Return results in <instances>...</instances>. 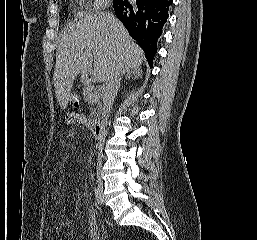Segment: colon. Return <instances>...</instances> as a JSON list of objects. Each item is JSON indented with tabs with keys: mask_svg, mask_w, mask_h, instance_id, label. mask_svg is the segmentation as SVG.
<instances>
[{
	"mask_svg": "<svg viewBox=\"0 0 257 240\" xmlns=\"http://www.w3.org/2000/svg\"><path fill=\"white\" fill-rule=\"evenodd\" d=\"M80 101V96L77 92H73L70 95V102L71 104H73L74 106L78 105Z\"/></svg>",
	"mask_w": 257,
	"mask_h": 240,
	"instance_id": "colon-1",
	"label": "colon"
}]
</instances>
